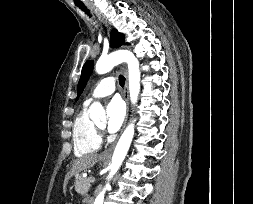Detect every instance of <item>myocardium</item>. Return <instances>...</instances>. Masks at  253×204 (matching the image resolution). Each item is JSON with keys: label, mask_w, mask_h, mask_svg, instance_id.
Instances as JSON below:
<instances>
[{"label": "myocardium", "mask_w": 253, "mask_h": 204, "mask_svg": "<svg viewBox=\"0 0 253 204\" xmlns=\"http://www.w3.org/2000/svg\"><path fill=\"white\" fill-rule=\"evenodd\" d=\"M96 128H97L98 130H101V129H102V127H100V126H98V125H96Z\"/></svg>", "instance_id": "myocardium-1"}]
</instances>
